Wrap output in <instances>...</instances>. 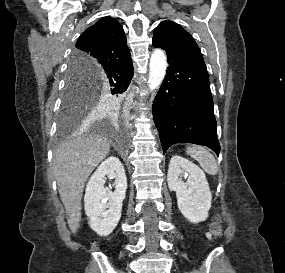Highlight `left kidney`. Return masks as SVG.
Masks as SVG:
<instances>
[{
	"label": "left kidney",
	"instance_id": "5707ae66",
	"mask_svg": "<svg viewBox=\"0 0 285 273\" xmlns=\"http://www.w3.org/2000/svg\"><path fill=\"white\" fill-rule=\"evenodd\" d=\"M187 178V182H183ZM168 187L176 192L180 212L192 223L208 217L212 194L205 173L194 163L175 155L171 158L167 174Z\"/></svg>",
	"mask_w": 285,
	"mask_h": 273
}]
</instances>
